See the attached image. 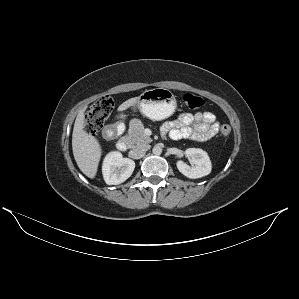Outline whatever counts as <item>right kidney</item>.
I'll list each match as a JSON object with an SVG mask.
<instances>
[{
  "mask_svg": "<svg viewBox=\"0 0 299 299\" xmlns=\"http://www.w3.org/2000/svg\"><path fill=\"white\" fill-rule=\"evenodd\" d=\"M135 162L129 158H123L118 151L106 155L102 165V173L108 185H118L126 181L133 173Z\"/></svg>",
  "mask_w": 299,
  "mask_h": 299,
  "instance_id": "1",
  "label": "right kidney"
}]
</instances>
